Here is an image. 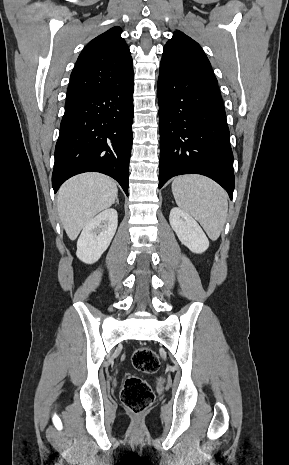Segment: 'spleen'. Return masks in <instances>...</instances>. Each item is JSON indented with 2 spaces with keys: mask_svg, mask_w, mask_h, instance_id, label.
<instances>
[{
  "mask_svg": "<svg viewBox=\"0 0 289 465\" xmlns=\"http://www.w3.org/2000/svg\"><path fill=\"white\" fill-rule=\"evenodd\" d=\"M177 205L193 216L211 240H217L226 223L227 194L216 182L202 175H181L172 183Z\"/></svg>",
  "mask_w": 289,
  "mask_h": 465,
  "instance_id": "obj_1",
  "label": "spleen"
}]
</instances>
